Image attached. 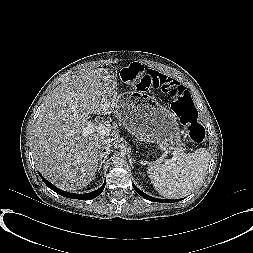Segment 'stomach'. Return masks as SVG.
Here are the masks:
<instances>
[{
  "label": "stomach",
  "instance_id": "stomach-1",
  "mask_svg": "<svg viewBox=\"0 0 253 253\" xmlns=\"http://www.w3.org/2000/svg\"><path fill=\"white\" fill-rule=\"evenodd\" d=\"M117 100L118 120L137 139L155 143L167 153L181 148L176 117L153 97L129 92L120 94Z\"/></svg>",
  "mask_w": 253,
  "mask_h": 253
}]
</instances>
